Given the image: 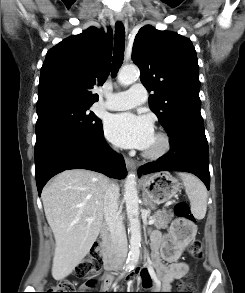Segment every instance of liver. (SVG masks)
<instances>
[{"instance_id":"6515ba94","label":"liver","mask_w":245,"mask_h":293,"mask_svg":"<svg viewBox=\"0 0 245 293\" xmlns=\"http://www.w3.org/2000/svg\"><path fill=\"white\" fill-rule=\"evenodd\" d=\"M109 185L103 174L72 169L58 174L43 189L45 216L56 243L52 265L55 280L70 275L96 241Z\"/></svg>"}]
</instances>
